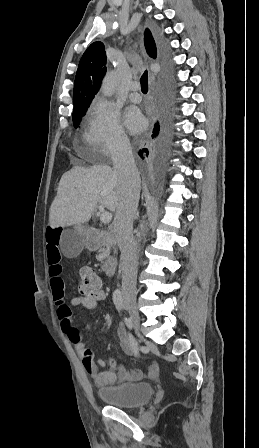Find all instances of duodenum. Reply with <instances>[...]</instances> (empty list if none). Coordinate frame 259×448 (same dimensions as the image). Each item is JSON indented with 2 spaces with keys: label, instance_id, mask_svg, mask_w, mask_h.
I'll return each mask as SVG.
<instances>
[{
  "label": "duodenum",
  "instance_id": "obj_1",
  "mask_svg": "<svg viewBox=\"0 0 259 448\" xmlns=\"http://www.w3.org/2000/svg\"><path fill=\"white\" fill-rule=\"evenodd\" d=\"M114 244L113 235L104 230L92 229L89 232L87 247L89 250H97L102 246H111ZM117 267V262L113 257H105L102 260L101 268L102 271L111 277L114 275Z\"/></svg>",
  "mask_w": 259,
  "mask_h": 448
}]
</instances>
